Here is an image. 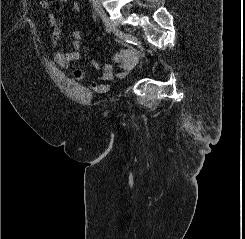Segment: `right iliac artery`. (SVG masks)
Returning <instances> with one entry per match:
<instances>
[{
    "instance_id": "82829eb1",
    "label": "right iliac artery",
    "mask_w": 245,
    "mask_h": 239,
    "mask_svg": "<svg viewBox=\"0 0 245 239\" xmlns=\"http://www.w3.org/2000/svg\"><path fill=\"white\" fill-rule=\"evenodd\" d=\"M105 31L108 33V34H111V30L105 25Z\"/></svg>"
}]
</instances>
